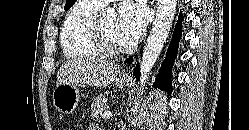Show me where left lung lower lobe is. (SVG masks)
I'll return each instance as SVG.
<instances>
[{"label": "left lung lower lobe", "instance_id": "0a47b994", "mask_svg": "<svg viewBox=\"0 0 249 130\" xmlns=\"http://www.w3.org/2000/svg\"><path fill=\"white\" fill-rule=\"evenodd\" d=\"M182 21H183V15L180 12L179 19L176 23L171 42L169 44L166 58L163 61L161 65V69L159 74L156 77V81L153 84L154 87H158L161 90H166L168 94L172 91V83H171V71H172V65L175 61L177 51H178V45L179 41L181 39V32H182ZM133 61L132 58H129L127 60L128 64H131ZM134 76L139 79L140 77V66L139 64L136 65L134 69Z\"/></svg>", "mask_w": 249, "mask_h": 130}]
</instances>
